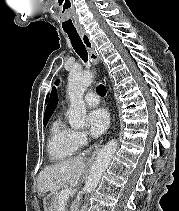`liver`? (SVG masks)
I'll return each instance as SVG.
<instances>
[{
    "label": "liver",
    "mask_w": 179,
    "mask_h": 211,
    "mask_svg": "<svg viewBox=\"0 0 179 211\" xmlns=\"http://www.w3.org/2000/svg\"><path fill=\"white\" fill-rule=\"evenodd\" d=\"M85 167V159L82 156L45 167L37 179L38 191L55 193L65 185L76 186Z\"/></svg>",
    "instance_id": "liver-1"
}]
</instances>
